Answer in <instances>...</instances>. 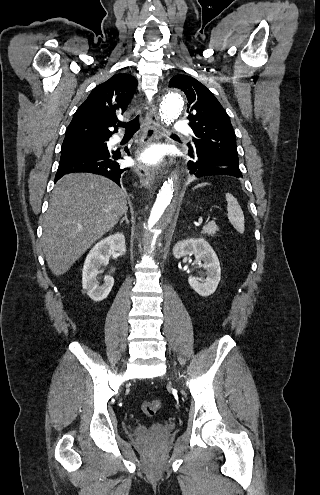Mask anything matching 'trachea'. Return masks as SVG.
<instances>
[{
	"label": "trachea",
	"mask_w": 320,
	"mask_h": 495,
	"mask_svg": "<svg viewBox=\"0 0 320 495\" xmlns=\"http://www.w3.org/2000/svg\"><path fill=\"white\" fill-rule=\"evenodd\" d=\"M118 126L124 127L126 129V131H125L126 135H132L140 127V117L137 116L135 119H133L127 123H119Z\"/></svg>",
	"instance_id": "trachea-1"
}]
</instances>
